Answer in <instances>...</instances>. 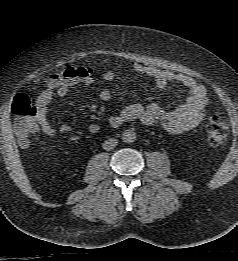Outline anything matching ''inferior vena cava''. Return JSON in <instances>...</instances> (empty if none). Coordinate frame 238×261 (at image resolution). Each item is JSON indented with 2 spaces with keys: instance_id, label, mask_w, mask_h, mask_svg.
<instances>
[{
  "instance_id": "602c4592",
  "label": "inferior vena cava",
  "mask_w": 238,
  "mask_h": 261,
  "mask_svg": "<svg viewBox=\"0 0 238 261\" xmlns=\"http://www.w3.org/2000/svg\"><path fill=\"white\" fill-rule=\"evenodd\" d=\"M118 144V140L115 138H110L103 143V149L109 151L113 148H115Z\"/></svg>"
}]
</instances>
